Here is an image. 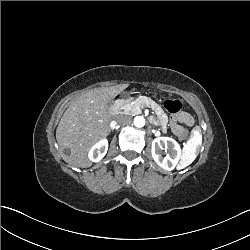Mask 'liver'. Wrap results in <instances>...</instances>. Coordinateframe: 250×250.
<instances>
[{"instance_id": "1", "label": "liver", "mask_w": 250, "mask_h": 250, "mask_svg": "<svg viewBox=\"0 0 250 250\" xmlns=\"http://www.w3.org/2000/svg\"><path fill=\"white\" fill-rule=\"evenodd\" d=\"M125 88L126 85L96 88L81 93L70 104L56 130L58 150L64 161L78 167L91 165L86 156L89 146L110 132L108 102Z\"/></svg>"}]
</instances>
